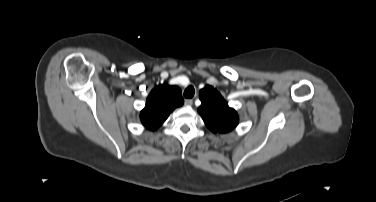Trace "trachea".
I'll return each mask as SVG.
<instances>
[{
  "label": "trachea",
  "mask_w": 376,
  "mask_h": 202,
  "mask_svg": "<svg viewBox=\"0 0 376 202\" xmlns=\"http://www.w3.org/2000/svg\"><path fill=\"white\" fill-rule=\"evenodd\" d=\"M195 94V89L192 85L188 86L184 91L185 98H192Z\"/></svg>",
  "instance_id": "1"
}]
</instances>
